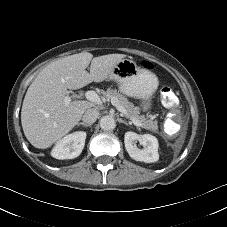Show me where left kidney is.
I'll use <instances>...</instances> for the list:
<instances>
[{
    "mask_svg": "<svg viewBox=\"0 0 227 227\" xmlns=\"http://www.w3.org/2000/svg\"><path fill=\"white\" fill-rule=\"evenodd\" d=\"M134 141H139L144 149H138L136 145H134ZM124 143L129 156L136 161L153 163L159 159V144L157 138L153 135H138L135 132L128 131L124 135Z\"/></svg>",
    "mask_w": 227,
    "mask_h": 227,
    "instance_id": "left-kidney-1",
    "label": "left kidney"
}]
</instances>
